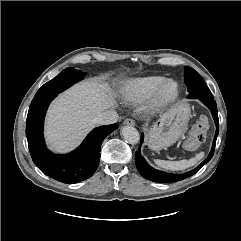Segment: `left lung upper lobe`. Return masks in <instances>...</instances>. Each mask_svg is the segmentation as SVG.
Returning a JSON list of instances; mask_svg holds the SVG:
<instances>
[{
  "label": "left lung upper lobe",
  "instance_id": "obj_1",
  "mask_svg": "<svg viewBox=\"0 0 241 241\" xmlns=\"http://www.w3.org/2000/svg\"><path fill=\"white\" fill-rule=\"evenodd\" d=\"M184 78H185V84L187 86L189 95L194 96H208L211 97V91L205 84L203 78L192 68L185 66L184 67ZM191 88H188L190 87ZM194 98V97H189Z\"/></svg>",
  "mask_w": 241,
  "mask_h": 241
}]
</instances>
